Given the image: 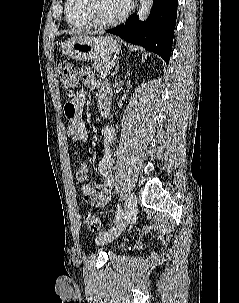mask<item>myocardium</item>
Here are the masks:
<instances>
[{
    "instance_id": "obj_1",
    "label": "myocardium",
    "mask_w": 239,
    "mask_h": 303,
    "mask_svg": "<svg viewBox=\"0 0 239 303\" xmlns=\"http://www.w3.org/2000/svg\"><path fill=\"white\" fill-rule=\"evenodd\" d=\"M97 2L98 0H84V3L82 5V9L84 12L85 17L87 20L95 27L99 28H106V27H112L116 26L120 23H122L129 15L131 11V4H129L126 8V10L117 18L112 20H102L100 19L97 14Z\"/></svg>"
}]
</instances>
